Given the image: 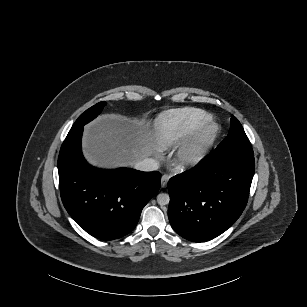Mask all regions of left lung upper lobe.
I'll use <instances>...</instances> for the list:
<instances>
[{"mask_svg":"<svg viewBox=\"0 0 307 307\" xmlns=\"http://www.w3.org/2000/svg\"><path fill=\"white\" fill-rule=\"evenodd\" d=\"M214 152H241L253 154L250 141L236 117H231L229 134L216 147Z\"/></svg>","mask_w":307,"mask_h":307,"instance_id":"1","label":"left lung upper lobe"}]
</instances>
